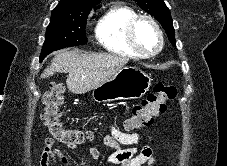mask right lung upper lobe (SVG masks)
<instances>
[{"instance_id": "obj_1", "label": "right lung upper lobe", "mask_w": 227, "mask_h": 166, "mask_svg": "<svg viewBox=\"0 0 227 166\" xmlns=\"http://www.w3.org/2000/svg\"><path fill=\"white\" fill-rule=\"evenodd\" d=\"M100 3V0H60L52 13L80 12Z\"/></svg>"}]
</instances>
